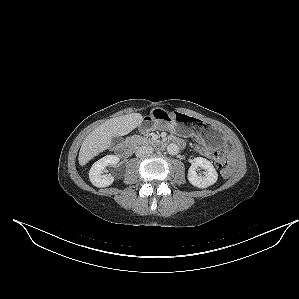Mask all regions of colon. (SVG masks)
I'll list each match as a JSON object with an SVG mask.
<instances>
[{
    "instance_id": "obj_1",
    "label": "colon",
    "mask_w": 299,
    "mask_h": 299,
    "mask_svg": "<svg viewBox=\"0 0 299 299\" xmlns=\"http://www.w3.org/2000/svg\"><path fill=\"white\" fill-rule=\"evenodd\" d=\"M200 152L204 155L212 158L215 165L221 170L224 176H229L232 172L230 165L228 164L225 154L219 149H210L207 147H198Z\"/></svg>"
}]
</instances>
